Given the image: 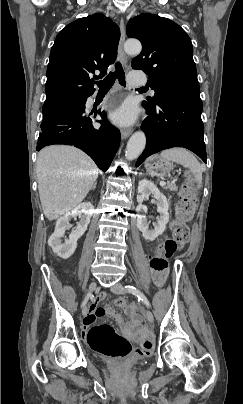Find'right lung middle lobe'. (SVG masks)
I'll return each mask as SVG.
<instances>
[{"label":"right lung middle lobe","mask_w":243,"mask_h":404,"mask_svg":"<svg viewBox=\"0 0 243 404\" xmlns=\"http://www.w3.org/2000/svg\"><path fill=\"white\" fill-rule=\"evenodd\" d=\"M84 99L85 98H72V99L59 100V101H56V102H53V103H50V104H44L43 105V113H45V112H47V111H49V110H51V109H53L55 107L61 106V105L81 102Z\"/></svg>","instance_id":"obj_1"}]
</instances>
